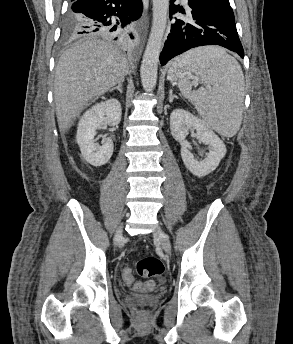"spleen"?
I'll use <instances>...</instances> for the list:
<instances>
[{
  "label": "spleen",
  "mask_w": 293,
  "mask_h": 344,
  "mask_svg": "<svg viewBox=\"0 0 293 344\" xmlns=\"http://www.w3.org/2000/svg\"><path fill=\"white\" fill-rule=\"evenodd\" d=\"M175 62L194 72L206 87L192 91L188 79L178 82L182 95L219 134L231 137L242 122L244 76L239 63L225 50L199 47L176 58Z\"/></svg>",
  "instance_id": "obj_1"
}]
</instances>
